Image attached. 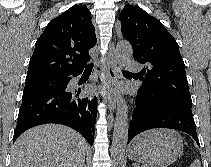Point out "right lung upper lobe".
<instances>
[{"label":"right lung upper lobe","mask_w":211,"mask_h":167,"mask_svg":"<svg viewBox=\"0 0 211 167\" xmlns=\"http://www.w3.org/2000/svg\"><path fill=\"white\" fill-rule=\"evenodd\" d=\"M96 44L91 13L75 5L54 18L38 38L29 62L26 81L61 76L83 70Z\"/></svg>","instance_id":"cb5924a9"}]
</instances>
